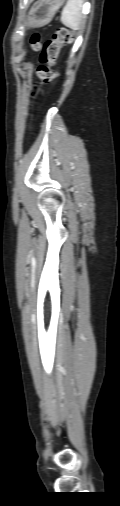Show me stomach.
Listing matches in <instances>:
<instances>
[{"label": "stomach", "instance_id": "obj_1", "mask_svg": "<svg viewBox=\"0 0 120 506\" xmlns=\"http://www.w3.org/2000/svg\"><path fill=\"white\" fill-rule=\"evenodd\" d=\"M65 0H37L30 8L27 24L39 27L48 24Z\"/></svg>", "mask_w": 120, "mask_h": 506}]
</instances>
